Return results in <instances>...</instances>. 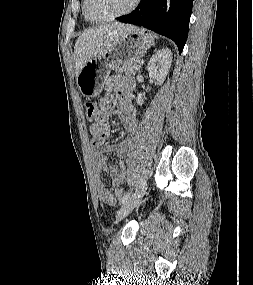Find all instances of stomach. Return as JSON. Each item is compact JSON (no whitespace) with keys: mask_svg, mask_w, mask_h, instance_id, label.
Returning <instances> with one entry per match:
<instances>
[{"mask_svg":"<svg viewBox=\"0 0 253 285\" xmlns=\"http://www.w3.org/2000/svg\"><path fill=\"white\" fill-rule=\"evenodd\" d=\"M153 45V35L144 28L133 27L104 52L88 61L77 75V86L87 99L96 97L112 69L138 61Z\"/></svg>","mask_w":253,"mask_h":285,"instance_id":"obj_1","label":"stomach"}]
</instances>
